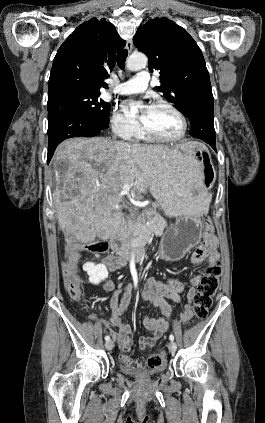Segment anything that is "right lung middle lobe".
Listing matches in <instances>:
<instances>
[{"label":"right lung middle lobe","mask_w":265,"mask_h":423,"mask_svg":"<svg viewBox=\"0 0 265 423\" xmlns=\"http://www.w3.org/2000/svg\"><path fill=\"white\" fill-rule=\"evenodd\" d=\"M100 93L72 90L48 97L47 108L76 107L94 118L109 123L110 104L99 98Z\"/></svg>","instance_id":"1"}]
</instances>
